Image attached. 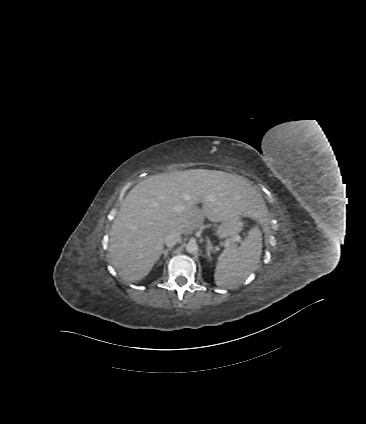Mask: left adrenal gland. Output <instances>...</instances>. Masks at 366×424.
<instances>
[{"label": "left adrenal gland", "instance_id": "left-adrenal-gland-1", "mask_svg": "<svg viewBox=\"0 0 366 424\" xmlns=\"http://www.w3.org/2000/svg\"><path fill=\"white\" fill-rule=\"evenodd\" d=\"M206 241H207V249H206L207 257L209 261H212L211 253H215V251L213 249V246L210 240L207 239Z\"/></svg>", "mask_w": 366, "mask_h": 424}]
</instances>
